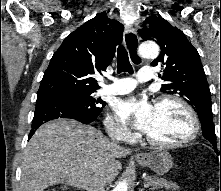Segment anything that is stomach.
<instances>
[{
  "mask_svg": "<svg viewBox=\"0 0 221 191\" xmlns=\"http://www.w3.org/2000/svg\"><path fill=\"white\" fill-rule=\"evenodd\" d=\"M136 161L158 175L166 174L173 166L171 155L163 149H156L137 156Z\"/></svg>",
  "mask_w": 221,
  "mask_h": 191,
  "instance_id": "1",
  "label": "stomach"
}]
</instances>
